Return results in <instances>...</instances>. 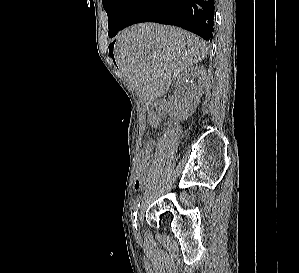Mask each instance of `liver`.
<instances>
[{"mask_svg": "<svg viewBox=\"0 0 299 273\" xmlns=\"http://www.w3.org/2000/svg\"><path fill=\"white\" fill-rule=\"evenodd\" d=\"M207 52V43L196 35L154 23L125 29L114 46L118 68L146 103L164 96L173 79Z\"/></svg>", "mask_w": 299, "mask_h": 273, "instance_id": "6515ba94", "label": "liver"}]
</instances>
